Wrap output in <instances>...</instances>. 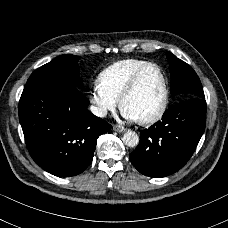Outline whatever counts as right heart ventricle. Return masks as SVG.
Segmentation results:
<instances>
[{"instance_id":"e07e8e85","label":"right heart ventricle","mask_w":228,"mask_h":228,"mask_svg":"<svg viewBox=\"0 0 228 228\" xmlns=\"http://www.w3.org/2000/svg\"><path fill=\"white\" fill-rule=\"evenodd\" d=\"M149 63L134 58L113 62L101 70L97 84L102 92L119 101L136 71Z\"/></svg>"}]
</instances>
